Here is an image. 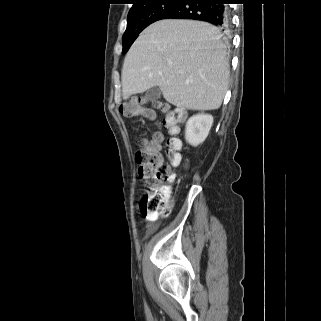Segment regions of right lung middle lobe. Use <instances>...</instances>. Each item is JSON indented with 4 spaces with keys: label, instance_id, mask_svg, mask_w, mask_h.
I'll list each match as a JSON object with an SVG mask.
<instances>
[{
    "label": "right lung middle lobe",
    "instance_id": "dd1d6c3e",
    "mask_svg": "<svg viewBox=\"0 0 321 321\" xmlns=\"http://www.w3.org/2000/svg\"><path fill=\"white\" fill-rule=\"evenodd\" d=\"M179 0H152L130 9L127 18V28L122 37L125 54L138 35L159 17L174 7Z\"/></svg>",
    "mask_w": 321,
    "mask_h": 321
}]
</instances>
